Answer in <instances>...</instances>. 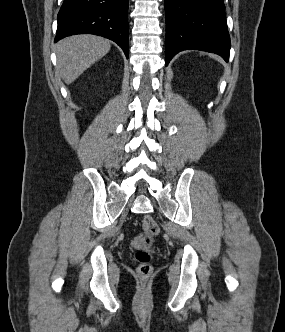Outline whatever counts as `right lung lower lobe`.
<instances>
[{
  "label": "right lung lower lobe",
  "instance_id": "right-lung-lower-lobe-1",
  "mask_svg": "<svg viewBox=\"0 0 285 332\" xmlns=\"http://www.w3.org/2000/svg\"><path fill=\"white\" fill-rule=\"evenodd\" d=\"M129 0H64L55 42L75 34H95L116 42L128 57Z\"/></svg>",
  "mask_w": 285,
  "mask_h": 332
}]
</instances>
